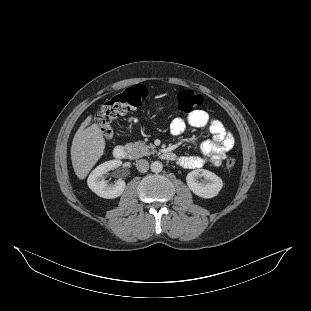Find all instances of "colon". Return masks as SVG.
<instances>
[{
    "mask_svg": "<svg viewBox=\"0 0 311 311\" xmlns=\"http://www.w3.org/2000/svg\"><path fill=\"white\" fill-rule=\"evenodd\" d=\"M147 90L144 86L136 85L127 88L113 96L101 106L96 115V121L103 136L110 140L113 137L112 122L126 113L141 107L147 98ZM203 98L192 90H181L177 96L178 109L183 113H191L202 105ZM236 164L233 156H227L226 168L231 170Z\"/></svg>",
    "mask_w": 311,
    "mask_h": 311,
    "instance_id": "obj_1",
    "label": "colon"
}]
</instances>
